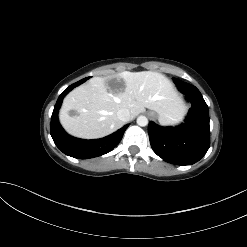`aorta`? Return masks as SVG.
<instances>
[{"mask_svg": "<svg viewBox=\"0 0 247 247\" xmlns=\"http://www.w3.org/2000/svg\"><path fill=\"white\" fill-rule=\"evenodd\" d=\"M137 124L141 127L148 125V119L145 116H139L137 118Z\"/></svg>", "mask_w": 247, "mask_h": 247, "instance_id": "aorta-1", "label": "aorta"}]
</instances>
